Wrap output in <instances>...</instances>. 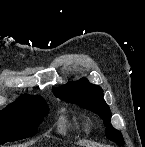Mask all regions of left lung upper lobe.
Masks as SVG:
<instances>
[{
	"instance_id": "obj_1",
	"label": "left lung upper lobe",
	"mask_w": 145,
	"mask_h": 147,
	"mask_svg": "<svg viewBox=\"0 0 145 147\" xmlns=\"http://www.w3.org/2000/svg\"><path fill=\"white\" fill-rule=\"evenodd\" d=\"M54 95L69 103L79 104L83 108L97 113L106 126V137L120 146L124 145L122 133L110 123L111 112L103 99V90L85 79L69 82L59 88H53Z\"/></svg>"
}]
</instances>
